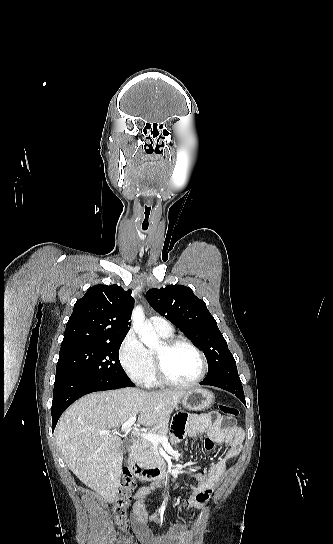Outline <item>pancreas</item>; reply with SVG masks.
I'll list each match as a JSON object with an SVG mask.
<instances>
[{
	"label": "pancreas",
	"mask_w": 333,
	"mask_h": 544,
	"mask_svg": "<svg viewBox=\"0 0 333 544\" xmlns=\"http://www.w3.org/2000/svg\"><path fill=\"white\" fill-rule=\"evenodd\" d=\"M169 420L166 419L154 426L149 433L157 434L159 436H166L168 433ZM133 457L137 462L143 465H154L158 463L159 457L156 454L154 445L147 439H142L137 445V448L133 452Z\"/></svg>",
	"instance_id": "pancreas-1"
}]
</instances>
